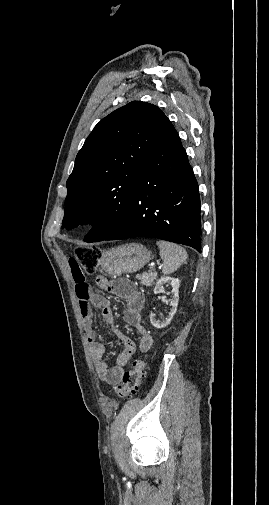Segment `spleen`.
I'll return each mask as SVG.
<instances>
[{"mask_svg":"<svg viewBox=\"0 0 269 505\" xmlns=\"http://www.w3.org/2000/svg\"><path fill=\"white\" fill-rule=\"evenodd\" d=\"M156 244L163 259V274L168 275L175 272L186 261L187 252L180 245L163 240H157Z\"/></svg>","mask_w":269,"mask_h":505,"instance_id":"3e777b00","label":"spleen"}]
</instances>
